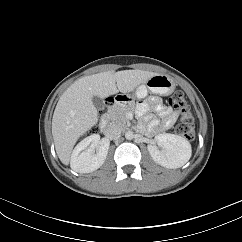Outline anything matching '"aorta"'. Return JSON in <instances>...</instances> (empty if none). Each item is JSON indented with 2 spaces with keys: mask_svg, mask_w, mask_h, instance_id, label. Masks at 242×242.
I'll use <instances>...</instances> for the list:
<instances>
[{
  "mask_svg": "<svg viewBox=\"0 0 242 242\" xmlns=\"http://www.w3.org/2000/svg\"><path fill=\"white\" fill-rule=\"evenodd\" d=\"M125 138L127 139V140H132L133 138H134V132L133 131H127L126 133H125Z\"/></svg>",
  "mask_w": 242,
  "mask_h": 242,
  "instance_id": "obj_1",
  "label": "aorta"
}]
</instances>
